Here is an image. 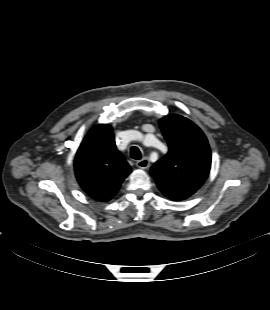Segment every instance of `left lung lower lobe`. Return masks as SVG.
I'll return each mask as SVG.
<instances>
[{"mask_svg":"<svg viewBox=\"0 0 270 310\" xmlns=\"http://www.w3.org/2000/svg\"><path fill=\"white\" fill-rule=\"evenodd\" d=\"M159 189L166 197L172 200H184L194 193L190 190H179L168 187H159Z\"/></svg>","mask_w":270,"mask_h":310,"instance_id":"obj_1","label":"left lung lower lobe"}]
</instances>
